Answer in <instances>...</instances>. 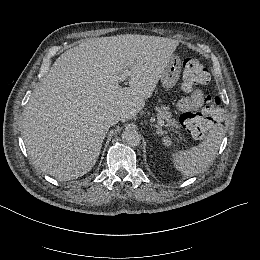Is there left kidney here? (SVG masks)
<instances>
[{
    "label": "left kidney",
    "mask_w": 260,
    "mask_h": 260,
    "mask_svg": "<svg viewBox=\"0 0 260 260\" xmlns=\"http://www.w3.org/2000/svg\"><path fill=\"white\" fill-rule=\"evenodd\" d=\"M164 143L168 145L170 141L167 138H164Z\"/></svg>",
    "instance_id": "obj_1"
}]
</instances>
